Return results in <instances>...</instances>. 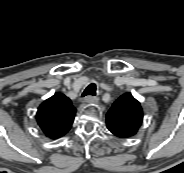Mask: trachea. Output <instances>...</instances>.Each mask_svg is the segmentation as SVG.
<instances>
[{
	"mask_svg": "<svg viewBox=\"0 0 184 173\" xmlns=\"http://www.w3.org/2000/svg\"><path fill=\"white\" fill-rule=\"evenodd\" d=\"M96 94V84L91 83L82 93V97L87 96V95H92L94 96Z\"/></svg>",
	"mask_w": 184,
	"mask_h": 173,
	"instance_id": "1",
	"label": "trachea"
}]
</instances>
